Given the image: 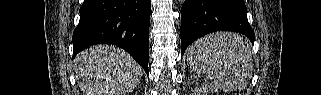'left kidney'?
Listing matches in <instances>:
<instances>
[{
    "label": "left kidney",
    "instance_id": "5707ae66",
    "mask_svg": "<svg viewBox=\"0 0 321 95\" xmlns=\"http://www.w3.org/2000/svg\"><path fill=\"white\" fill-rule=\"evenodd\" d=\"M200 92L204 95V94H206L207 91L206 90H201Z\"/></svg>",
    "mask_w": 321,
    "mask_h": 95
}]
</instances>
